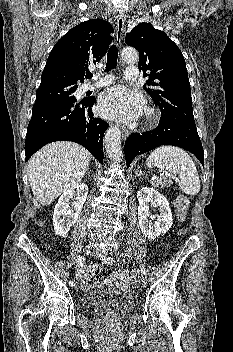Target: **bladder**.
I'll return each instance as SVG.
<instances>
[{
  "label": "bladder",
  "mask_w": 233,
  "mask_h": 352,
  "mask_svg": "<svg viewBox=\"0 0 233 352\" xmlns=\"http://www.w3.org/2000/svg\"><path fill=\"white\" fill-rule=\"evenodd\" d=\"M136 296L130 291H123L107 283L92 285L83 297V305L88 308H106L115 312H124L133 308Z\"/></svg>",
  "instance_id": "bladder-1"
}]
</instances>
